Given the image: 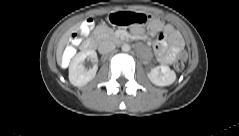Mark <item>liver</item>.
I'll list each match as a JSON object with an SVG mask.
<instances>
[{
	"label": "liver",
	"instance_id": "6515ba94",
	"mask_svg": "<svg viewBox=\"0 0 239 136\" xmlns=\"http://www.w3.org/2000/svg\"><path fill=\"white\" fill-rule=\"evenodd\" d=\"M76 27H72L69 30H67L63 36L61 37L59 43H58V48H57V61L60 64L61 61V55H62V51L68 41V38L71 36V33L74 31Z\"/></svg>",
	"mask_w": 239,
	"mask_h": 136
}]
</instances>
